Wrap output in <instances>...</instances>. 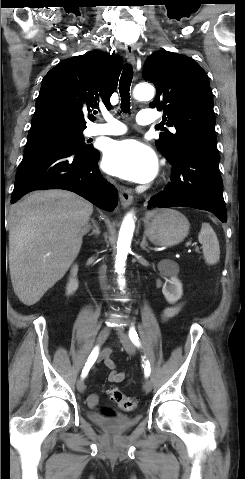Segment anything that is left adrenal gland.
Masks as SVG:
<instances>
[{
    "label": "left adrenal gland",
    "mask_w": 245,
    "mask_h": 479,
    "mask_svg": "<svg viewBox=\"0 0 245 479\" xmlns=\"http://www.w3.org/2000/svg\"><path fill=\"white\" fill-rule=\"evenodd\" d=\"M146 245H147V242H146V237L143 236V239H142V242L140 244L141 248L147 252H149V250L146 248Z\"/></svg>",
    "instance_id": "obj_1"
}]
</instances>
